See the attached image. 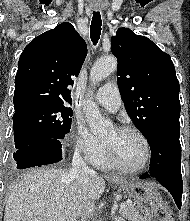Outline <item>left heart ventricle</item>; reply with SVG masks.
I'll list each match as a JSON object with an SVG mask.
<instances>
[{"instance_id":"left-heart-ventricle-1","label":"left heart ventricle","mask_w":190,"mask_h":221,"mask_svg":"<svg viewBox=\"0 0 190 221\" xmlns=\"http://www.w3.org/2000/svg\"><path fill=\"white\" fill-rule=\"evenodd\" d=\"M115 151L119 160L127 167L137 168L145 159V147L140 137L131 131L112 128L103 138Z\"/></svg>"}]
</instances>
